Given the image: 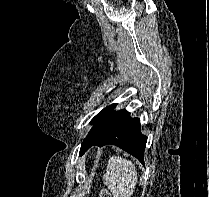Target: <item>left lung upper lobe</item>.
<instances>
[{
  "label": "left lung upper lobe",
  "instance_id": "5c2ea615",
  "mask_svg": "<svg viewBox=\"0 0 209 197\" xmlns=\"http://www.w3.org/2000/svg\"><path fill=\"white\" fill-rule=\"evenodd\" d=\"M105 109H106V108H105ZM105 109H103L99 114H97V115L91 120L90 123H93Z\"/></svg>",
  "mask_w": 209,
  "mask_h": 197
}]
</instances>
